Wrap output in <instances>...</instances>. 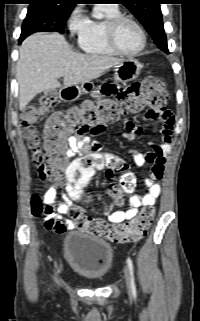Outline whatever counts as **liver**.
Here are the masks:
<instances>
[{
	"instance_id": "6515ba94",
	"label": "liver",
	"mask_w": 200,
	"mask_h": 321,
	"mask_svg": "<svg viewBox=\"0 0 200 321\" xmlns=\"http://www.w3.org/2000/svg\"><path fill=\"white\" fill-rule=\"evenodd\" d=\"M123 59L75 53L58 33H35L27 37L21 47L16 66L19 86V108L39 93L61 87L90 82Z\"/></svg>"
}]
</instances>
